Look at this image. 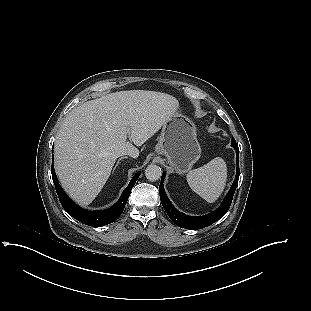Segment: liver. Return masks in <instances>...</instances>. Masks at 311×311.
<instances>
[{"instance_id": "obj_1", "label": "liver", "mask_w": 311, "mask_h": 311, "mask_svg": "<svg viewBox=\"0 0 311 311\" xmlns=\"http://www.w3.org/2000/svg\"><path fill=\"white\" fill-rule=\"evenodd\" d=\"M178 107V100L169 94L130 90L74 108L54 146L55 170L64 190L79 204H90L108 180L116 159L126 154L137 158L139 150L134 145H143Z\"/></svg>"}]
</instances>
